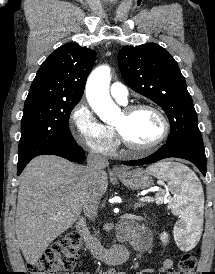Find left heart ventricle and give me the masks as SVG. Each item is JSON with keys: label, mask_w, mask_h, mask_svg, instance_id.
Wrapping results in <instances>:
<instances>
[{"label": "left heart ventricle", "mask_w": 215, "mask_h": 274, "mask_svg": "<svg viewBox=\"0 0 215 274\" xmlns=\"http://www.w3.org/2000/svg\"><path fill=\"white\" fill-rule=\"evenodd\" d=\"M114 125L131 143L136 145L150 144L162 132L160 118L153 111L147 109L138 110L130 115L122 111Z\"/></svg>", "instance_id": "b2bd125f"}]
</instances>
